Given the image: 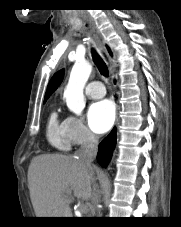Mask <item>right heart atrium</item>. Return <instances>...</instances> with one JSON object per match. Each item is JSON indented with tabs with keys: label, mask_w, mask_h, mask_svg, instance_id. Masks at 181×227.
I'll return each mask as SVG.
<instances>
[{
	"label": "right heart atrium",
	"mask_w": 181,
	"mask_h": 227,
	"mask_svg": "<svg viewBox=\"0 0 181 227\" xmlns=\"http://www.w3.org/2000/svg\"><path fill=\"white\" fill-rule=\"evenodd\" d=\"M65 132L71 144L83 146L94 142V134L86 127L83 120L77 116L65 119Z\"/></svg>",
	"instance_id": "right-heart-atrium-1"
}]
</instances>
